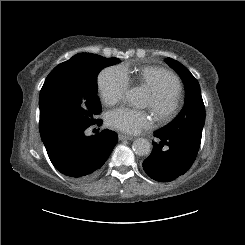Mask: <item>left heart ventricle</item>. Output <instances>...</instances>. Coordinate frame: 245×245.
<instances>
[{"mask_svg":"<svg viewBox=\"0 0 245 245\" xmlns=\"http://www.w3.org/2000/svg\"><path fill=\"white\" fill-rule=\"evenodd\" d=\"M150 104H151V97L150 94L148 93L146 97V106L150 107Z\"/></svg>","mask_w":245,"mask_h":245,"instance_id":"1","label":"left heart ventricle"}]
</instances>
